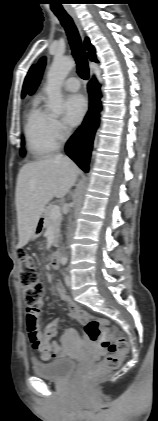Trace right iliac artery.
Segmentation results:
<instances>
[{
    "label": "right iliac artery",
    "mask_w": 158,
    "mask_h": 421,
    "mask_svg": "<svg viewBox=\"0 0 158 421\" xmlns=\"http://www.w3.org/2000/svg\"><path fill=\"white\" fill-rule=\"evenodd\" d=\"M61 263H62L63 265H65V264L67 263V260H66V259H62Z\"/></svg>",
    "instance_id": "1"
}]
</instances>
